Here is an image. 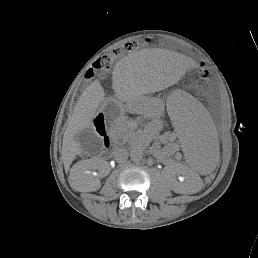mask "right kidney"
Segmentation results:
<instances>
[{
  "instance_id": "right-kidney-1",
  "label": "right kidney",
  "mask_w": 258,
  "mask_h": 258,
  "mask_svg": "<svg viewBox=\"0 0 258 258\" xmlns=\"http://www.w3.org/2000/svg\"><path fill=\"white\" fill-rule=\"evenodd\" d=\"M106 165V162L105 161H103V160H101V159H96L95 160V163L93 164V165H91L90 167H92V168H94V169H99V170H101L104 166ZM83 172L86 174V175H89L90 173L87 171V169L86 170H83ZM78 174V171L76 170V171H73V175H77ZM100 188V183H99V181L98 182H96L95 184H93V185H91L90 186V189H89V191H95V190H97V189H99Z\"/></svg>"
}]
</instances>
